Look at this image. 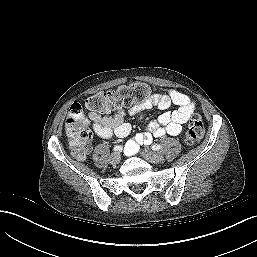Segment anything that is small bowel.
<instances>
[{
  "label": "small bowel",
  "instance_id": "1",
  "mask_svg": "<svg viewBox=\"0 0 257 257\" xmlns=\"http://www.w3.org/2000/svg\"><path fill=\"white\" fill-rule=\"evenodd\" d=\"M172 104L177 106L173 111L162 113L156 120L151 121L143 134H138L134 139L126 143V153L134 154L141 144H148L153 138L164 135L177 136L184 130V125L195 111V103L189 96L177 90L171 89L167 93H153L144 102L132 107L128 111L119 109L113 116H103L90 112L88 118L91 121L94 133L103 139L113 136L126 137L131 131V125L125 121L127 114L142 115L151 107L167 109Z\"/></svg>",
  "mask_w": 257,
  "mask_h": 257
}]
</instances>
